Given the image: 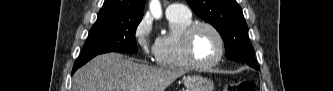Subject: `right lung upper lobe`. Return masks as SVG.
I'll use <instances>...</instances> for the list:
<instances>
[{"label": "right lung upper lobe", "instance_id": "obj_1", "mask_svg": "<svg viewBox=\"0 0 333 91\" xmlns=\"http://www.w3.org/2000/svg\"><path fill=\"white\" fill-rule=\"evenodd\" d=\"M144 3L145 0H105L98 18L143 16Z\"/></svg>", "mask_w": 333, "mask_h": 91}]
</instances>
